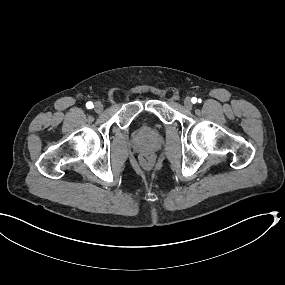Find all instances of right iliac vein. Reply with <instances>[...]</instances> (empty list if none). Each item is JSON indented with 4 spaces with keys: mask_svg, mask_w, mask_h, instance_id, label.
I'll return each instance as SVG.
<instances>
[{
    "mask_svg": "<svg viewBox=\"0 0 285 285\" xmlns=\"http://www.w3.org/2000/svg\"><path fill=\"white\" fill-rule=\"evenodd\" d=\"M104 107H103V104L101 102H96L95 105H94V110L97 112V113H101L103 111Z\"/></svg>",
    "mask_w": 285,
    "mask_h": 285,
    "instance_id": "obj_1",
    "label": "right iliac vein"
}]
</instances>
